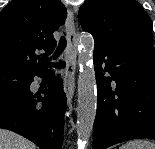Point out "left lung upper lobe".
<instances>
[{
    "label": "left lung upper lobe",
    "instance_id": "1",
    "mask_svg": "<svg viewBox=\"0 0 155 149\" xmlns=\"http://www.w3.org/2000/svg\"><path fill=\"white\" fill-rule=\"evenodd\" d=\"M78 19L95 45L153 44V23L136 0H86Z\"/></svg>",
    "mask_w": 155,
    "mask_h": 149
}]
</instances>
